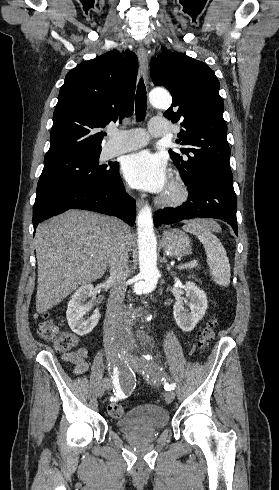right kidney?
Wrapping results in <instances>:
<instances>
[{
	"label": "right kidney",
	"mask_w": 279,
	"mask_h": 490,
	"mask_svg": "<svg viewBox=\"0 0 279 490\" xmlns=\"http://www.w3.org/2000/svg\"><path fill=\"white\" fill-rule=\"evenodd\" d=\"M94 286L92 284H83L79 290L74 292L67 306L66 318L74 334L86 336L90 334L93 328L97 326L101 316L99 312H94L90 318H85L89 308L83 304L84 300L93 296Z\"/></svg>",
	"instance_id": "ca27d5eb"
}]
</instances>
